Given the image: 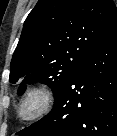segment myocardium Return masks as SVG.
<instances>
[{"label":"myocardium","mask_w":117,"mask_h":136,"mask_svg":"<svg viewBox=\"0 0 117 136\" xmlns=\"http://www.w3.org/2000/svg\"><path fill=\"white\" fill-rule=\"evenodd\" d=\"M55 94L47 86H35L25 92L18 106V116L22 121L30 122L46 116L53 108ZM34 104L33 110L26 112V108Z\"/></svg>","instance_id":"obj_1"}]
</instances>
